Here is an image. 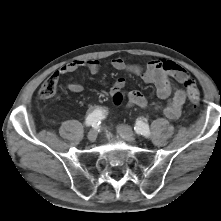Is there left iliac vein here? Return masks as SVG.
<instances>
[{
	"label": "left iliac vein",
	"instance_id": "4c4485c4",
	"mask_svg": "<svg viewBox=\"0 0 221 221\" xmlns=\"http://www.w3.org/2000/svg\"><path fill=\"white\" fill-rule=\"evenodd\" d=\"M117 132L123 136L128 142L134 143L135 142V135L133 133V130L128 125H118L117 126Z\"/></svg>",
	"mask_w": 221,
	"mask_h": 221
}]
</instances>
